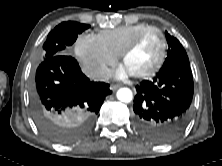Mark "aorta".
<instances>
[{
    "mask_svg": "<svg viewBox=\"0 0 222 166\" xmlns=\"http://www.w3.org/2000/svg\"><path fill=\"white\" fill-rule=\"evenodd\" d=\"M117 99L123 103H129L133 99L132 91L129 88H120L117 91Z\"/></svg>",
    "mask_w": 222,
    "mask_h": 166,
    "instance_id": "762f6f07",
    "label": "aorta"
}]
</instances>
